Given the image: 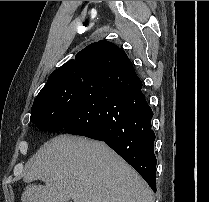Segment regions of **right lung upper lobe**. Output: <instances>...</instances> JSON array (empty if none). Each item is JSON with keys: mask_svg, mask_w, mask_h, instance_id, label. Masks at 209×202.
<instances>
[{"mask_svg": "<svg viewBox=\"0 0 209 202\" xmlns=\"http://www.w3.org/2000/svg\"><path fill=\"white\" fill-rule=\"evenodd\" d=\"M129 62V58L121 48L101 40L88 45L76 54L75 59L69 60L56 69L49 76L48 81L55 77L76 73L90 74L93 77L103 76L110 70L125 68Z\"/></svg>", "mask_w": 209, "mask_h": 202, "instance_id": "right-lung-upper-lobe-1", "label": "right lung upper lobe"}]
</instances>
